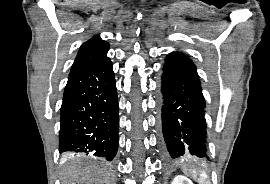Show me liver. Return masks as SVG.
<instances>
[{
  "label": "liver",
  "instance_id": "6515ba94",
  "mask_svg": "<svg viewBox=\"0 0 270 184\" xmlns=\"http://www.w3.org/2000/svg\"><path fill=\"white\" fill-rule=\"evenodd\" d=\"M62 184H114V174L108 164H87L66 169Z\"/></svg>",
  "mask_w": 270,
  "mask_h": 184
}]
</instances>
